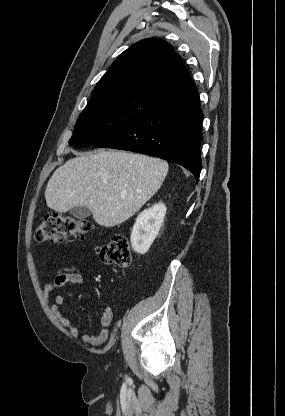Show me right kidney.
I'll use <instances>...</instances> for the list:
<instances>
[{"mask_svg": "<svg viewBox=\"0 0 285 416\" xmlns=\"http://www.w3.org/2000/svg\"><path fill=\"white\" fill-rule=\"evenodd\" d=\"M166 206L159 202L139 214L131 234V246L137 254H146L164 222Z\"/></svg>", "mask_w": 285, "mask_h": 416, "instance_id": "right-kidney-1", "label": "right kidney"}]
</instances>
